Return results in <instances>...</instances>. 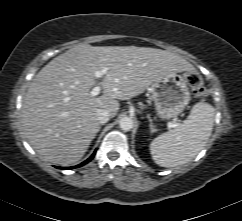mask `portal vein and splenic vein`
Here are the masks:
<instances>
[{"label":"portal vein and splenic vein","instance_id":"18ae733b","mask_svg":"<svg viewBox=\"0 0 242 221\" xmlns=\"http://www.w3.org/2000/svg\"><path fill=\"white\" fill-rule=\"evenodd\" d=\"M108 68H103L101 70H97L95 73H94V76L97 77V78H101L106 72H107ZM101 86L100 85H96L92 90H91V95L92 96H97L100 94L101 92ZM179 123H173V122H169L168 123V127L169 128H174L176 126H178Z\"/></svg>","mask_w":242,"mask_h":221}]
</instances>
